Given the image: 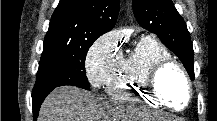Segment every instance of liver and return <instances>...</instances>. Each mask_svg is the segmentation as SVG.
<instances>
[{
	"instance_id": "liver-1",
	"label": "liver",
	"mask_w": 217,
	"mask_h": 121,
	"mask_svg": "<svg viewBox=\"0 0 217 121\" xmlns=\"http://www.w3.org/2000/svg\"><path fill=\"white\" fill-rule=\"evenodd\" d=\"M142 116V112L131 106L96 97L76 87L64 86L47 96L41 105L38 121H135ZM156 119L166 117L156 116Z\"/></svg>"
}]
</instances>
